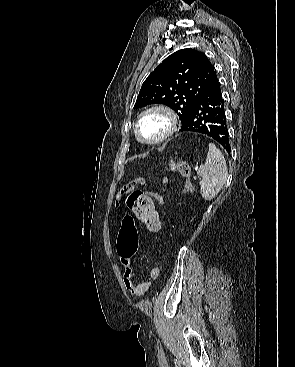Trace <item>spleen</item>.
<instances>
[{
    "mask_svg": "<svg viewBox=\"0 0 295 367\" xmlns=\"http://www.w3.org/2000/svg\"><path fill=\"white\" fill-rule=\"evenodd\" d=\"M197 174L202 178L200 190L202 197L209 201L216 197L225 185L228 168L222 152L213 143H209L206 162L200 165Z\"/></svg>",
    "mask_w": 295,
    "mask_h": 367,
    "instance_id": "obj_1",
    "label": "spleen"
}]
</instances>
